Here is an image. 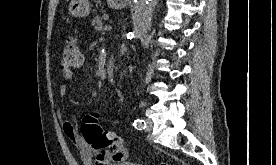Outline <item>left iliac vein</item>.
Here are the masks:
<instances>
[{"label": "left iliac vein", "mask_w": 276, "mask_h": 165, "mask_svg": "<svg viewBox=\"0 0 276 165\" xmlns=\"http://www.w3.org/2000/svg\"><path fill=\"white\" fill-rule=\"evenodd\" d=\"M152 127H153V122H152V120H150V119H147L146 120V131L147 132H150L151 130H152Z\"/></svg>", "instance_id": "obj_1"}]
</instances>
